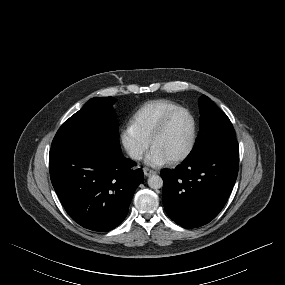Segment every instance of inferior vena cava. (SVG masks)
Here are the masks:
<instances>
[{
	"mask_svg": "<svg viewBox=\"0 0 285 285\" xmlns=\"http://www.w3.org/2000/svg\"><path fill=\"white\" fill-rule=\"evenodd\" d=\"M130 157L134 160H140L142 159V154L139 152H133L130 154Z\"/></svg>",
	"mask_w": 285,
	"mask_h": 285,
	"instance_id": "inferior-vena-cava-1",
	"label": "inferior vena cava"
}]
</instances>
